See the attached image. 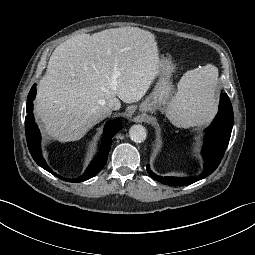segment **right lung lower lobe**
Masks as SVG:
<instances>
[{"instance_id":"1","label":"right lung lower lobe","mask_w":255,"mask_h":255,"mask_svg":"<svg viewBox=\"0 0 255 255\" xmlns=\"http://www.w3.org/2000/svg\"><path fill=\"white\" fill-rule=\"evenodd\" d=\"M36 96V85H33L31 88L29 95H28V102L26 106V112L28 115L25 118V131H26V138H27V144L29 151L35 160V162L44 168L45 170L49 171L55 176H58L60 179L65 180L67 182H83L89 178H92L95 176L99 171L105 166L108 158V154L111 148L112 144V137L119 131L120 124L116 121L108 122L105 126L104 130V138H103V144L101 147V151L98 153L97 157H95L91 164L88 166L87 170L77 178H64L62 176L57 175L55 172L50 169V167L45 162L42 152H41V146H40V132L39 129L34 121L33 116V100Z\"/></svg>"}]
</instances>
